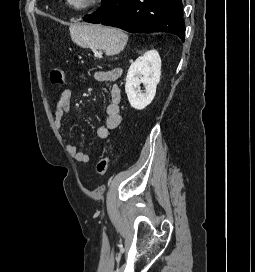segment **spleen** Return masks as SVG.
I'll return each mask as SVG.
<instances>
[{"label": "spleen", "instance_id": "spleen-1", "mask_svg": "<svg viewBox=\"0 0 255 272\" xmlns=\"http://www.w3.org/2000/svg\"><path fill=\"white\" fill-rule=\"evenodd\" d=\"M69 30L72 41L77 45L104 50L109 56L120 53L128 41V35L122 30L102 25L74 24Z\"/></svg>", "mask_w": 255, "mask_h": 272}]
</instances>
